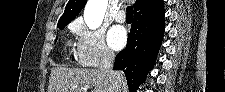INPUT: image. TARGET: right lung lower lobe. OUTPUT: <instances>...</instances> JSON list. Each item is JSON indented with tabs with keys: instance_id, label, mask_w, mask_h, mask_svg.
I'll list each match as a JSON object with an SVG mask.
<instances>
[{
	"instance_id": "obj_1",
	"label": "right lung lower lobe",
	"mask_w": 225,
	"mask_h": 92,
	"mask_svg": "<svg viewBox=\"0 0 225 92\" xmlns=\"http://www.w3.org/2000/svg\"><path fill=\"white\" fill-rule=\"evenodd\" d=\"M165 11L149 17H134L126 49L120 51L114 70L125 73L131 92L142 84L152 69L163 38Z\"/></svg>"
}]
</instances>
